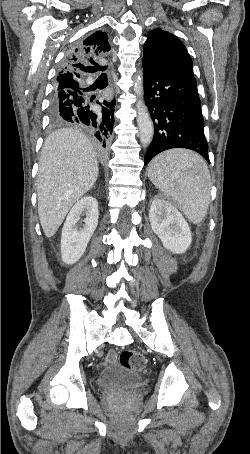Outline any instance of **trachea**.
Here are the masks:
<instances>
[{"instance_id": "1", "label": "trachea", "mask_w": 250, "mask_h": 454, "mask_svg": "<svg viewBox=\"0 0 250 454\" xmlns=\"http://www.w3.org/2000/svg\"><path fill=\"white\" fill-rule=\"evenodd\" d=\"M94 69H95V70H99V71L104 72V71L106 70V67H105V66L103 67V66L96 65L93 69H90V71H92V70H94ZM97 81H99V82H101V83H103V84H105V85L108 84L107 74H106V73H102V74L98 77Z\"/></svg>"}]
</instances>
